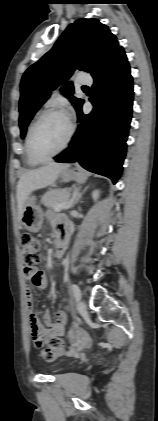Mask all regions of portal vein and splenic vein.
<instances>
[{"mask_svg": "<svg viewBox=\"0 0 158 421\" xmlns=\"http://www.w3.org/2000/svg\"><path fill=\"white\" fill-rule=\"evenodd\" d=\"M70 202H71V200H68L65 204L57 206L55 211H60V210H64V209L69 208Z\"/></svg>", "mask_w": 158, "mask_h": 421, "instance_id": "portal-vein-and-splenic-vein-1", "label": "portal vein and splenic vein"}]
</instances>
